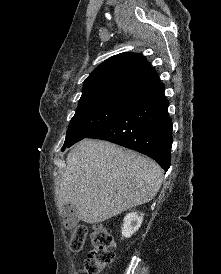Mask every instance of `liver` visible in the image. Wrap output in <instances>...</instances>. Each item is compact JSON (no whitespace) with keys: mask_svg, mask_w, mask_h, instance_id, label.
<instances>
[{"mask_svg":"<svg viewBox=\"0 0 221 274\" xmlns=\"http://www.w3.org/2000/svg\"><path fill=\"white\" fill-rule=\"evenodd\" d=\"M163 181L152 159L107 141L85 139L66 158L57 205L73 204L79 219L101 223L150 202Z\"/></svg>","mask_w":221,"mask_h":274,"instance_id":"obj_1","label":"liver"}]
</instances>
